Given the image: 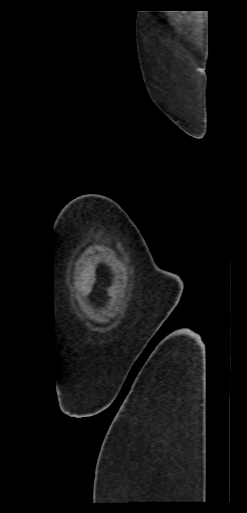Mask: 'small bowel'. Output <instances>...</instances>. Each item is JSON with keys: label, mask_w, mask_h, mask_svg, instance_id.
Returning <instances> with one entry per match:
<instances>
[{"label": "small bowel", "mask_w": 247, "mask_h": 513, "mask_svg": "<svg viewBox=\"0 0 247 513\" xmlns=\"http://www.w3.org/2000/svg\"><path fill=\"white\" fill-rule=\"evenodd\" d=\"M74 286L79 295H87L93 286L92 270L83 265L79 267L75 273Z\"/></svg>", "instance_id": "c3829d8e"}]
</instances>
